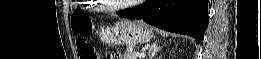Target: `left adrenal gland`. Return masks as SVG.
Here are the masks:
<instances>
[{
  "instance_id": "1",
  "label": "left adrenal gland",
  "mask_w": 261,
  "mask_h": 59,
  "mask_svg": "<svg viewBox=\"0 0 261 59\" xmlns=\"http://www.w3.org/2000/svg\"><path fill=\"white\" fill-rule=\"evenodd\" d=\"M162 47H158V44L157 42H154L150 48H149V51H148V56H149V59H153L155 57V55L157 54V52H159L161 50Z\"/></svg>"
}]
</instances>
